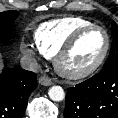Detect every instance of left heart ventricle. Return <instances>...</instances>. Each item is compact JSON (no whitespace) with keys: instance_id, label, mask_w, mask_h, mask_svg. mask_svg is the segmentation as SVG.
<instances>
[{"instance_id":"1","label":"left heart ventricle","mask_w":118,"mask_h":118,"mask_svg":"<svg viewBox=\"0 0 118 118\" xmlns=\"http://www.w3.org/2000/svg\"><path fill=\"white\" fill-rule=\"evenodd\" d=\"M105 44L106 39L102 31L92 30L87 32L65 58L64 67L72 71L90 67L102 55Z\"/></svg>"}]
</instances>
